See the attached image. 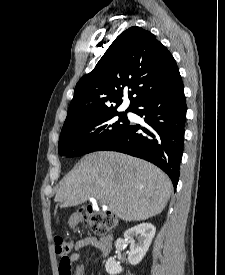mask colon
I'll return each instance as SVG.
<instances>
[{
    "mask_svg": "<svg viewBox=\"0 0 225 275\" xmlns=\"http://www.w3.org/2000/svg\"><path fill=\"white\" fill-rule=\"evenodd\" d=\"M80 213L85 222L95 230L108 232L115 230L118 226V218L111 212L84 207L80 210ZM54 247L55 252L62 257L59 262L60 275H71V263L67 256L72 250V242L63 237L56 236L54 238Z\"/></svg>",
    "mask_w": 225,
    "mask_h": 275,
    "instance_id": "colon-1",
    "label": "colon"
}]
</instances>
